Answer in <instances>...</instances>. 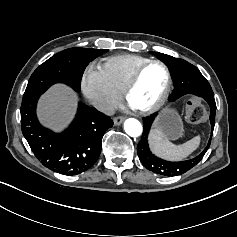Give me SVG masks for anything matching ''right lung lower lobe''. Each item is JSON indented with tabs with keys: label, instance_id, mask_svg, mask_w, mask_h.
Wrapping results in <instances>:
<instances>
[{
	"label": "right lung lower lobe",
	"instance_id": "obj_1",
	"mask_svg": "<svg viewBox=\"0 0 237 237\" xmlns=\"http://www.w3.org/2000/svg\"><path fill=\"white\" fill-rule=\"evenodd\" d=\"M38 98L22 102L20 109L22 132L35 156L47 168L64 175L87 171L97 161L102 137L113 126V121L95 108L80 103L70 127L56 134L38 122Z\"/></svg>",
	"mask_w": 237,
	"mask_h": 237
}]
</instances>
